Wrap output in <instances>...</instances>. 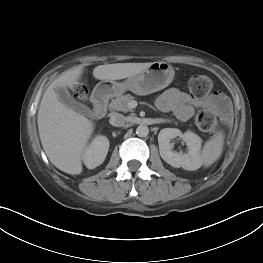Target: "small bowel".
I'll use <instances>...</instances> for the list:
<instances>
[{"label":"small bowel","instance_id":"1","mask_svg":"<svg viewBox=\"0 0 263 263\" xmlns=\"http://www.w3.org/2000/svg\"><path fill=\"white\" fill-rule=\"evenodd\" d=\"M158 109L173 112L182 121L190 119L196 108H203L227 116L230 111L228 99L220 92H215L205 99L196 98L178 89L164 91L156 101Z\"/></svg>","mask_w":263,"mask_h":263}]
</instances>
